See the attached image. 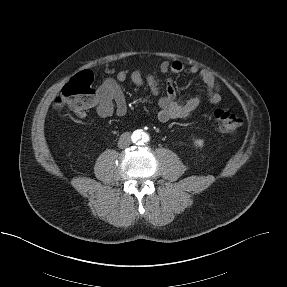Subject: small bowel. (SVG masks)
<instances>
[{
  "label": "small bowel",
  "instance_id": "obj_1",
  "mask_svg": "<svg viewBox=\"0 0 287 287\" xmlns=\"http://www.w3.org/2000/svg\"><path fill=\"white\" fill-rule=\"evenodd\" d=\"M159 69L163 74L170 75L165 81L164 92H162V86L153 75L140 70H135L131 73L121 70L115 78H106L97 90L96 101L93 105L96 114L100 118H107L113 114L117 116L126 114L127 102L121 84L129 78L134 85H146L149 88L159 107L157 115L159 121L167 122L172 119L187 118L200 108L202 98L201 94L185 97L177 95L172 76L183 72L197 76L206 85L207 97L211 103L218 104L221 102L220 84L211 71L200 69L194 65L186 68L179 60L172 62L163 61ZM78 115L83 118L86 116V113L84 111Z\"/></svg>",
  "mask_w": 287,
  "mask_h": 287
}]
</instances>
